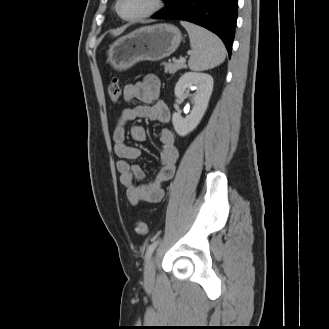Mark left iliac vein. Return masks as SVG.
<instances>
[{
  "label": "left iliac vein",
  "instance_id": "obj_1",
  "mask_svg": "<svg viewBox=\"0 0 329 329\" xmlns=\"http://www.w3.org/2000/svg\"><path fill=\"white\" fill-rule=\"evenodd\" d=\"M155 279V259L151 258L145 268V281L152 283Z\"/></svg>",
  "mask_w": 329,
  "mask_h": 329
}]
</instances>
